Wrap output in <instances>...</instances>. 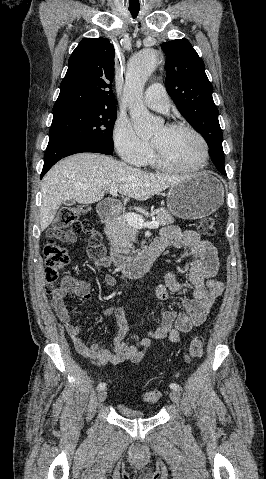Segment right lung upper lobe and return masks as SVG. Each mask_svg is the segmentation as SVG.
Masks as SVG:
<instances>
[{"label": "right lung upper lobe", "instance_id": "obj_1", "mask_svg": "<svg viewBox=\"0 0 266 479\" xmlns=\"http://www.w3.org/2000/svg\"><path fill=\"white\" fill-rule=\"evenodd\" d=\"M115 50L106 38H85L68 61L53 113L73 109H116L112 81Z\"/></svg>", "mask_w": 266, "mask_h": 479}]
</instances>
